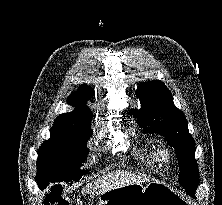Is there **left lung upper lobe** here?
<instances>
[{
  "instance_id": "left-lung-upper-lobe-1",
  "label": "left lung upper lobe",
  "mask_w": 222,
  "mask_h": 205,
  "mask_svg": "<svg viewBox=\"0 0 222 205\" xmlns=\"http://www.w3.org/2000/svg\"><path fill=\"white\" fill-rule=\"evenodd\" d=\"M136 95L141 108L131 109L128 113L136 116L144 133H159L166 137L169 145L175 148L179 160L180 184L186 191H196L199 172L194 157L195 142L188 131L183 112L173 103L171 92L160 80H152L140 84Z\"/></svg>"
}]
</instances>
